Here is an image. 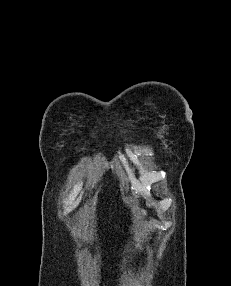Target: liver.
<instances>
[{
    "label": "liver",
    "instance_id": "6515ba94",
    "mask_svg": "<svg viewBox=\"0 0 231 286\" xmlns=\"http://www.w3.org/2000/svg\"><path fill=\"white\" fill-rule=\"evenodd\" d=\"M139 208L138 207H133V213H135Z\"/></svg>",
    "mask_w": 231,
    "mask_h": 286
}]
</instances>
